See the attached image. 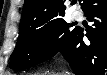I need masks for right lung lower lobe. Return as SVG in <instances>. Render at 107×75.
Wrapping results in <instances>:
<instances>
[{"instance_id": "98d812e1", "label": "right lung lower lobe", "mask_w": 107, "mask_h": 75, "mask_svg": "<svg viewBox=\"0 0 107 75\" xmlns=\"http://www.w3.org/2000/svg\"><path fill=\"white\" fill-rule=\"evenodd\" d=\"M82 10L93 25L78 28L59 52L76 75H107V0H85ZM86 36L89 42L82 40Z\"/></svg>"}]
</instances>
